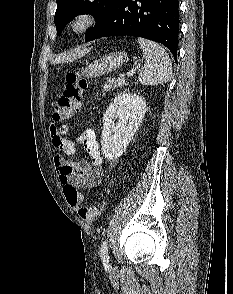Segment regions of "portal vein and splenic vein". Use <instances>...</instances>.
<instances>
[{
    "label": "portal vein and splenic vein",
    "instance_id": "portal-vein-and-splenic-vein-1",
    "mask_svg": "<svg viewBox=\"0 0 233 294\" xmlns=\"http://www.w3.org/2000/svg\"><path fill=\"white\" fill-rule=\"evenodd\" d=\"M137 69H138V67H135L131 71H129L126 75L127 78L133 77V75L136 73Z\"/></svg>",
    "mask_w": 233,
    "mask_h": 294
}]
</instances>
